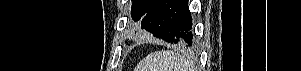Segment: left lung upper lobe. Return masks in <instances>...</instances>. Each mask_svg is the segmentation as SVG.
I'll return each instance as SVG.
<instances>
[{"label": "left lung upper lobe", "instance_id": "5c2ea615", "mask_svg": "<svg viewBox=\"0 0 301 71\" xmlns=\"http://www.w3.org/2000/svg\"><path fill=\"white\" fill-rule=\"evenodd\" d=\"M158 2V0H133L131 17L134 21L141 20Z\"/></svg>", "mask_w": 301, "mask_h": 71}]
</instances>
